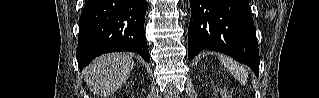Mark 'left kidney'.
<instances>
[{"mask_svg":"<svg viewBox=\"0 0 319 98\" xmlns=\"http://www.w3.org/2000/svg\"><path fill=\"white\" fill-rule=\"evenodd\" d=\"M215 92H216V93L219 92L220 95H221V98H228V97H229L228 94H227V92H226L225 90H223V89L217 88V89L215 90Z\"/></svg>","mask_w":319,"mask_h":98,"instance_id":"1","label":"left kidney"}]
</instances>
